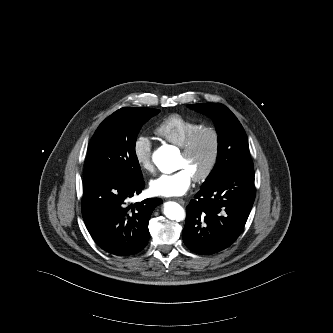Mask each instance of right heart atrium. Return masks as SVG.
Returning <instances> with one entry per match:
<instances>
[{
	"label": "right heart atrium",
	"mask_w": 333,
	"mask_h": 333,
	"mask_svg": "<svg viewBox=\"0 0 333 333\" xmlns=\"http://www.w3.org/2000/svg\"><path fill=\"white\" fill-rule=\"evenodd\" d=\"M133 155L137 164L144 171L153 169L152 163V142L147 135H139L135 138L132 146Z\"/></svg>",
	"instance_id": "obj_1"
}]
</instances>
